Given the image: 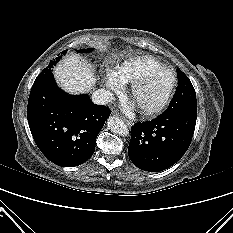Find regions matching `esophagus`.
Returning a JSON list of instances; mask_svg holds the SVG:
<instances>
[{
	"label": "esophagus",
	"mask_w": 233,
	"mask_h": 233,
	"mask_svg": "<svg viewBox=\"0 0 233 233\" xmlns=\"http://www.w3.org/2000/svg\"><path fill=\"white\" fill-rule=\"evenodd\" d=\"M123 120L125 121V123L128 125V126H131L132 125V122L126 118H123Z\"/></svg>",
	"instance_id": "obj_1"
}]
</instances>
